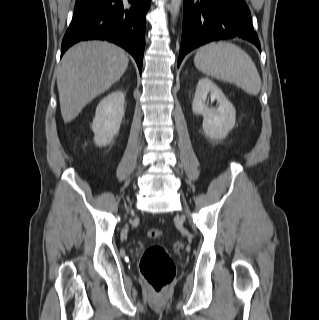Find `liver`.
<instances>
[{"instance_id": "obj_1", "label": "liver", "mask_w": 319, "mask_h": 320, "mask_svg": "<svg viewBox=\"0 0 319 320\" xmlns=\"http://www.w3.org/2000/svg\"><path fill=\"white\" fill-rule=\"evenodd\" d=\"M128 62L123 49L106 41H86L71 47L57 75L64 123L74 120L89 102L117 82Z\"/></svg>"}]
</instances>
